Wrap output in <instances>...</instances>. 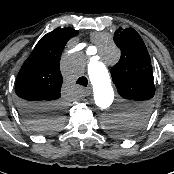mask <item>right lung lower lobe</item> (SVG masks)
Here are the masks:
<instances>
[{"label": "right lung lower lobe", "instance_id": "obj_1", "mask_svg": "<svg viewBox=\"0 0 174 174\" xmlns=\"http://www.w3.org/2000/svg\"><path fill=\"white\" fill-rule=\"evenodd\" d=\"M17 106L20 114L26 121H30V118H34L39 114L47 113L56 110L61 107L60 102L56 105L28 102L24 100H17Z\"/></svg>", "mask_w": 174, "mask_h": 174}]
</instances>
